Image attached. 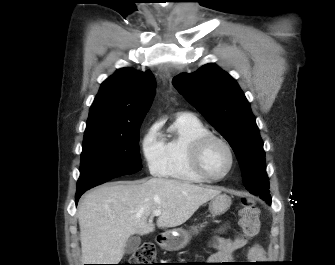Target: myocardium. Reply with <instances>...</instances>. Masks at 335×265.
Instances as JSON below:
<instances>
[{"label":"myocardium","mask_w":335,"mask_h":265,"mask_svg":"<svg viewBox=\"0 0 335 265\" xmlns=\"http://www.w3.org/2000/svg\"><path fill=\"white\" fill-rule=\"evenodd\" d=\"M217 141L225 146L229 153V167L221 176H212L204 168L202 163L203 152L210 142ZM190 162L194 171L206 181L218 182L225 179L233 170L235 165V152L232 145L223 137L208 133L196 139L191 147Z\"/></svg>","instance_id":"myocardium-1"}]
</instances>
